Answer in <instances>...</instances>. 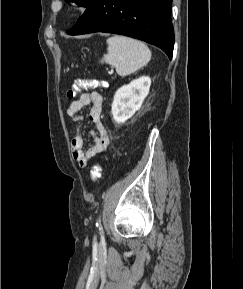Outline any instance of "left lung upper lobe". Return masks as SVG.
<instances>
[{"mask_svg": "<svg viewBox=\"0 0 243 289\" xmlns=\"http://www.w3.org/2000/svg\"><path fill=\"white\" fill-rule=\"evenodd\" d=\"M65 1L74 2L79 6L87 7L91 3L92 0H65Z\"/></svg>", "mask_w": 243, "mask_h": 289, "instance_id": "1", "label": "left lung upper lobe"}]
</instances>
